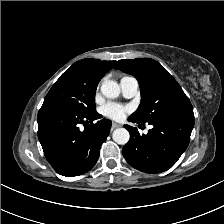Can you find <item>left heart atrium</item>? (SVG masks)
Returning <instances> with one entry per match:
<instances>
[{"mask_svg":"<svg viewBox=\"0 0 224 224\" xmlns=\"http://www.w3.org/2000/svg\"><path fill=\"white\" fill-rule=\"evenodd\" d=\"M129 111V107L118 103H107L102 109L103 114L113 120H122Z\"/></svg>","mask_w":224,"mask_h":224,"instance_id":"left-heart-atrium-1","label":"left heart atrium"}]
</instances>
